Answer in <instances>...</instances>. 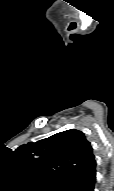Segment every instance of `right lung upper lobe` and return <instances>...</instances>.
<instances>
[{"instance_id": "cb5924a9", "label": "right lung upper lobe", "mask_w": 114, "mask_h": 191, "mask_svg": "<svg viewBox=\"0 0 114 191\" xmlns=\"http://www.w3.org/2000/svg\"><path fill=\"white\" fill-rule=\"evenodd\" d=\"M15 153L34 179L48 189L90 174L96 167L90 142L76 129L21 145Z\"/></svg>"}]
</instances>
